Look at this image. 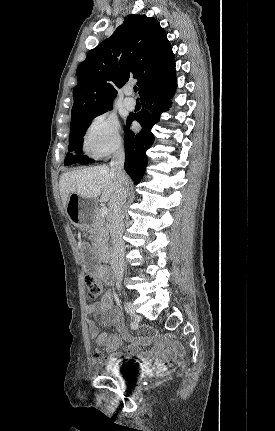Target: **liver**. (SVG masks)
<instances>
[{
    "instance_id": "obj_1",
    "label": "liver",
    "mask_w": 275,
    "mask_h": 431,
    "mask_svg": "<svg viewBox=\"0 0 275 431\" xmlns=\"http://www.w3.org/2000/svg\"><path fill=\"white\" fill-rule=\"evenodd\" d=\"M116 189L111 169L106 165L89 167L63 173L59 180V191L63 207L66 208L70 194L95 199L101 194V201L108 202Z\"/></svg>"
}]
</instances>
